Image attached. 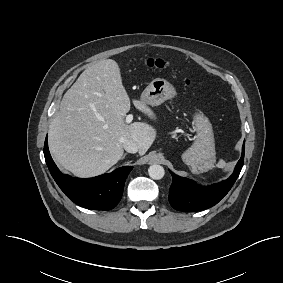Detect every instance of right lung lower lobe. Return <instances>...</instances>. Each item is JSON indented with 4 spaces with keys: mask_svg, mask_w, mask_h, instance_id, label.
Returning a JSON list of instances; mask_svg holds the SVG:
<instances>
[{
    "mask_svg": "<svg viewBox=\"0 0 283 283\" xmlns=\"http://www.w3.org/2000/svg\"><path fill=\"white\" fill-rule=\"evenodd\" d=\"M44 156L51 175L65 195L79 206L94 210H110L118 204L123 194L125 180L133 168L120 167L111 173L90 179L63 175L51 158L47 137Z\"/></svg>",
    "mask_w": 283,
    "mask_h": 283,
    "instance_id": "1",
    "label": "right lung lower lobe"
}]
</instances>
